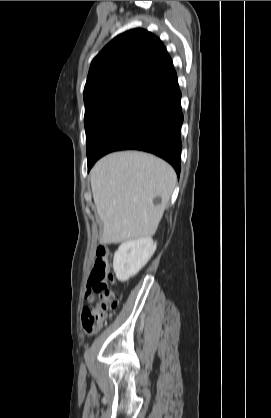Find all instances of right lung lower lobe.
<instances>
[{"instance_id":"1","label":"right lung lower lobe","mask_w":271,"mask_h":418,"mask_svg":"<svg viewBox=\"0 0 271 418\" xmlns=\"http://www.w3.org/2000/svg\"><path fill=\"white\" fill-rule=\"evenodd\" d=\"M180 101L181 92L177 86L121 127L107 141L96 160L113 151L142 150L168 161L179 176L183 122Z\"/></svg>"}]
</instances>
